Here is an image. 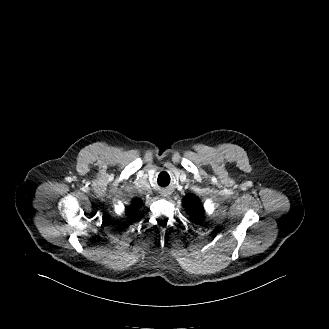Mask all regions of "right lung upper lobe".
I'll return each instance as SVG.
<instances>
[{"mask_svg":"<svg viewBox=\"0 0 329 329\" xmlns=\"http://www.w3.org/2000/svg\"><path fill=\"white\" fill-rule=\"evenodd\" d=\"M141 205V201L137 200V201H133V204L130 207L126 208V212L130 217L134 216V213L136 212V210L140 207Z\"/></svg>","mask_w":329,"mask_h":329,"instance_id":"obj_1","label":"right lung upper lobe"}]
</instances>
